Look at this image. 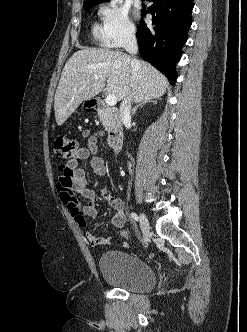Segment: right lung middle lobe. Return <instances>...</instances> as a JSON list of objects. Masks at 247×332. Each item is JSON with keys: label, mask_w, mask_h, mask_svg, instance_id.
I'll return each instance as SVG.
<instances>
[{"label": "right lung middle lobe", "mask_w": 247, "mask_h": 332, "mask_svg": "<svg viewBox=\"0 0 247 332\" xmlns=\"http://www.w3.org/2000/svg\"><path fill=\"white\" fill-rule=\"evenodd\" d=\"M97 4H93V5H87V6H84V9L85 10H90L91 8H93L94 6H96Z\"/></svg>", "instance_id": "right-lung-middle-lobe-1"}]
</instances>
